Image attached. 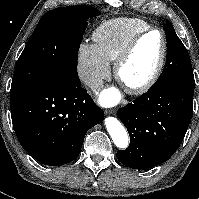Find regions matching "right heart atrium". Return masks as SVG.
<instances>
[{"label": "right heart atrium", "instance_id": "obj_1", "mask_svg": "<svg viewBox=\"0 0 199 199\" xmlns=\"http://www.w3.org/2000/svg\"><path fill=\"white\" fill-rule=\"evenodd\" d=\"M77 73L80 80L97 90L110 74V64L95 44L81 43L77 54Z\"/></svg>", "mask_w": 199, "mask_h": 199}]
</instances>
